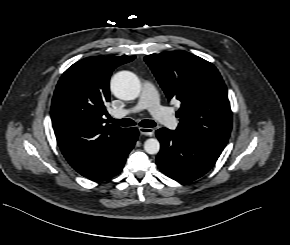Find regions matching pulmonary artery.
I'll return each mask as SVG.
<instances>
[{
    "label": "pulmonary artery",
    "mask_w": 290,
    "mask_h": 245,
    "mask_svg": "<svg viewBox=\"0 0 290 245\" xmlns=\"http://www.w3.org/2000/svg\"><path fill=\"white\" fill-rule=\"evenodd\" d=\"M143 109H148L152 116L167 128H177V119L169 109L160 105L155 86L150 81L143 82L139 99L134 106L127 109L115 110L111 115L119 119Z\"/></svg>",
    "instance_id": "obj_1"
}]
</instances>
